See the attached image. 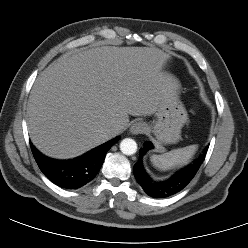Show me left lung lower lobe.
I'll return each instance as SVG.
<instances>
[{
	"label": "left lung lower lobe",
	"mask_w": 248,
	"mask_h": 248,
	"mask_svg": "<svg viewBox=\"0 0 248 248\" xmlns=\"http://www.w3.org/2000/svg\"><path fill=\"white\" fill-rule=\"evenodd\" d=\"M153 148L151 142L146 141L144 147L140 149V157L134 165L133 173L136 181L142 187L144 192L153 198H165L174 195L184 189L194 178L201 164L205 160L208 146L202 154L190 165L175 173L170 178L163 181H155L145 172L142 163V157L147 150Z\"/></svg>",
	"instance_id": "obj_1"
}]
</instances>
